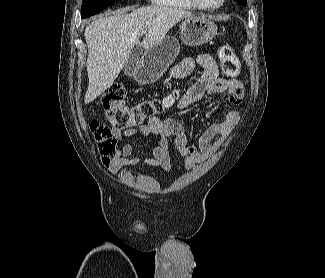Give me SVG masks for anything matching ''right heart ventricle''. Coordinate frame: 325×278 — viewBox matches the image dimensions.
Here are the masks:
<instances>
[{
	"label": "right heart ventricle",
	"mask_w": 325,
	"mask_h": 278,
	"mask_svg": "<svg viewBox=\"0 0 325 278\" xmlns=\"http://www.w3.org/2000/svg\"><path fill=\"white\" fill-rule=\"evenodd\" d=\"M152 2L158 6L183 9V10H195L197 7L191 2V0H152Z\"/></svg>",
	"instance_id": "obj_1"
}]
</instances>
